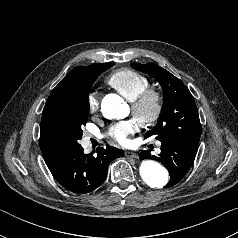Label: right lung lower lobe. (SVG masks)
Wrapping results in <instances>:
<instances>
[{"label":"right lung lower lobe","instance_id":"1","mask_svg":"<svg viewBox=\"0 0 238 238\" xmlns=\"http://www.w3.org/2000/svg\"><path fill=\"white\" fill-rule=\"evenodd\" d=\"M123 156V150L111 146L100 148L97 156L87 155L80 145L47 166L65 189L76 194H86L103 184L110 162Z\"/></svg>","mask_w":238,"mask_h":238}]
</instances>
